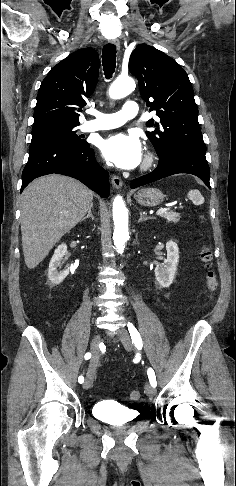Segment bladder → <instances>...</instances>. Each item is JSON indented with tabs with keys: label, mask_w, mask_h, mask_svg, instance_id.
Wrapping results in <instances>:
<instances>
[{
	"label": "bladder",
	"mask_w": 236,
	"mask_h": 486,
	"mask_svg": "<svg viewBox=\"0 0 236 486\" xmlns=\"http://www.w3.org/2000/svg\"><path fill=\"white\" fill-rule=\"evenodd\" d=\"M92 410L97 419L113 425H125L138 417L136 411L113 401H98Z\"/></svg>",
	"instance_id": "obj_1"
}]
</instances>
